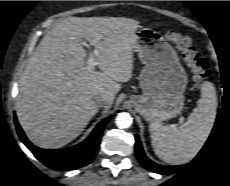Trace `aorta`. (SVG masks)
I'll use <instances>...</instances> for the list:
<instances>
[{
	"label": "aorta",
	"instance_id": "762f6f07",
	"mask_svg": "<svg viewBox=\"0 0 230 186\" xmlns=\"http://www.w3.org/2000/svg\"><path fill=\"white\" fill-rule=\"evenodd\" d=\"M115 123L118 128L125 129L131 126L132 117L129 113L122 112L116 116Z\"/></svg>",
	"mask_w": 230,
	"mask_h": 186
}]
</instances>
